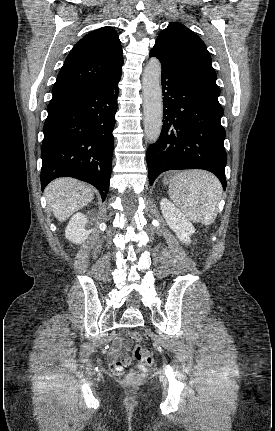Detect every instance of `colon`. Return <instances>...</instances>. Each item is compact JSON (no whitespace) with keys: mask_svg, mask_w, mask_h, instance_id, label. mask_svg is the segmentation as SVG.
Listing matches in <instances>:
<instances>
[{"mask_svg":"<svg viewBox=\"0 0 275 431\" xmlns=\"http://www.w3.org/2000/svg\"><path fill=\"white\" fill-rule=\"evenodd\" d=\"M131 340L140 342L142 340V336L138 332H133L126 337L127 342H130ZM133 356L137 364L129 371L125 378V382L128 385H136L143 380L145 376V368L142 364L152 365L154 363V355L149 349L137 346L133 351ZM122 370V363L120 362L116 371L121 372Z\"/></svg>","mask_w":275,"mask_h":431,"instance_id":"5ec220e1","label":"colon"}]
</instances>
